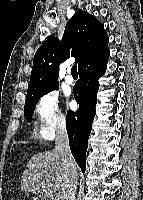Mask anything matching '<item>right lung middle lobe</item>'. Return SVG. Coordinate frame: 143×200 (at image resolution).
<instances>
[{"label":"right lung middle lobe","instance_id":"1","mask_svg":"<svg viewBox=\"0 0 143 200\" xmlns=\"http://www.w3.org/2000/svg\"><path fill=\"white\" fill-rule=\"evenodd\" d=\"M58 88H59L58 85L47 87L25 100L24 116L28 120V122L31 121L34 108L38 103L39 99L48 92Z\"/></svg>","mask_w":143,"mask_h":200}]
</instances>
